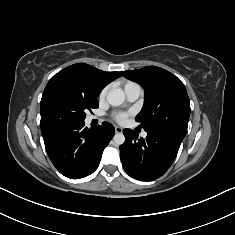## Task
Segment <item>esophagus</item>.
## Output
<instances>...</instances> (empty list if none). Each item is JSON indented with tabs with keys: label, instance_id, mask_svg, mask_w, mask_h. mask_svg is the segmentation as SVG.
I'll return each mask as SVG.
<instances>
[{
	"label": "esophagus",
	"instance_id": "34e87169",
	"mask_svg": "<svg viewBox=\"0 0 235 235\" xmlns=\"http://www.w3.org/2000/svg\"><path fill=\"white\" fill-rule=\"evenodd\" d=\"M122 130H123V129H122L121 127L115 126V132H116V133H121Z\"/></svg>",
	"mask_w": 235,
	"mask_h": 235
}]
</instances>
